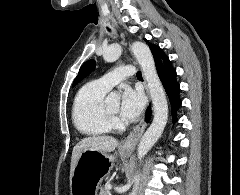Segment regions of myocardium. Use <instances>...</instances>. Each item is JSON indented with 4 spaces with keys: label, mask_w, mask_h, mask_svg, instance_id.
Instances as JSON below:
<instances>
[{
    "label": "myocardium",
    "mask_w": 240,
    "mask_h": 195,
    "mask_svg": "<svg viewBox=\"0 0 240 195\" xmlns=\"http://www.w3.org/2000/svg\"><path fill=\"white\" fill-rule=\"evenodd\" d=\"M105 113L108 117L109 123L114 128H120L124 125V121L119 117L118 113H114L110 110L108 103L104 104Z\"/></svg>",
    "instance_id": "obj_1"
}]
</instances>
